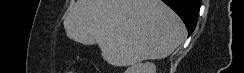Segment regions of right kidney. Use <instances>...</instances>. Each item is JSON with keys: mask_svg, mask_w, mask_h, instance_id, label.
<instances>
[{"mask_svg": "<svg viewBox=\"0 0 244 73\" xmlns=\"http://www.w3.org/2000/svg\"><path fill=\"white\" fill-rule=\"evenodd\" d=\"M125 73H156V66L153 63H137L129 67Z\"/></svg>", "mask_w": 244, "mask_h": 73, "instance_id": "obj_1", "label": "right kidney"}]
</instances>
